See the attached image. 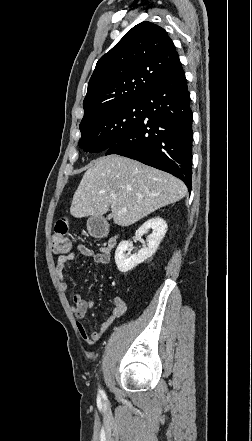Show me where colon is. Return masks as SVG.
<instances>
[{"label": "colon", "mask_w": 252, "mask_h": 441, "mask_svg": "<svg viewBox=\"0 0 252 441\" xmlns=\"http://www.w3.org/2000/svg\"><path fill=\"white\" fill-rule=\"evenodd\" d=\"M68 224L65 220H60L56 226L52 237V252L60 257L68 254L71 244L67 237Z\"/></svg>", "instance_id": "obj_1"}]
</instances>
